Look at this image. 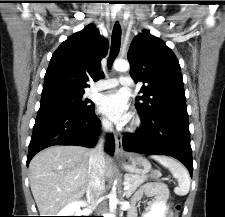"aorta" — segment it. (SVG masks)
Here are the masks:
<instances>
[{"instance_id":"1","label":"aorta","mask_w":225,"mask_h":217,"mask_svg":"<svg viewBox=\"0 0 225 217\" xmlns=\"http://www.w3.org/2000/svg\"><path fill=\"white\" fill-rule=\"evenodd\" d=\"M115 70L125 72L129 69V63L125 60H116L113 64ZM117 200L115 197L110 199L109 206L111 211L116 208Z\"/></svg>"}]
</instances>
